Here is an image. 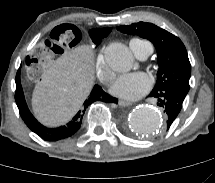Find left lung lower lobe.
Segmentation results:
<instances>
[{"instance_id":"0a47b994","label":"left lung lower lobe","mask_w":215,"mask_h":183,"mask_svg":"<svg viewBox=\"0 0 215 183\" xmlns=\"http://www.w3.org/2000/svg\"><path fill=\"white\" fill-rule=\"evenodd\" d=\"M187 93L176 86H166L160 89L152 90L149 97H154L158 100L157 105L164 109L167 115V127L169 128L175 118L178 116L183 101Z\"/></svg>"}]
</instances>
